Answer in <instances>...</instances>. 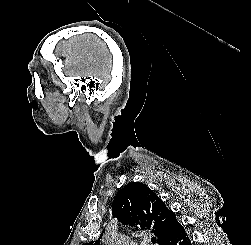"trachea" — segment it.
Returning a JSON list of instances; mask_svg holds the SVG:
<instances>
[{"instance_id": "obj_1", "label": "trachea", "mask_w": 251, "mask_h": 245, "mask_svg": "<svg viewBox=\"0 0 251 245\" xmlns=\"http://www.w3.org/2000/svg\"><path fill=\"white\" fill-rule=\"evenodd\" d=\"M151 242L153 243V244H155V242H156V238H151Z\"/></svg>"}]
</instances>
